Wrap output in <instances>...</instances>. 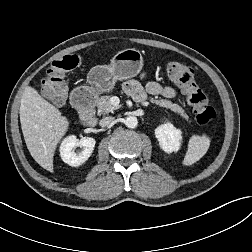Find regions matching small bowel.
I'll return each mask as SVG.
<instances>
[{"label": "small bowel", "mask_w": 252, "mask_h": 252, "mask_svg": "<svg viewBox=\"0 0 252 252\" xmlns=\"http://www.w3.org/2000/svg\"><path fill=\"white\" fill-rule=\"evenodd\" d=\"M143 74L142 77H145ZM125 91L134 97L135 99L141 101L145 98L146 94L152 95H162L164 97H174L176 92L170 86H162L155 81H149L145 86H142L137 80H129L124 85Z\"/></svg>", "instance_id": "1"}]
</instances>
